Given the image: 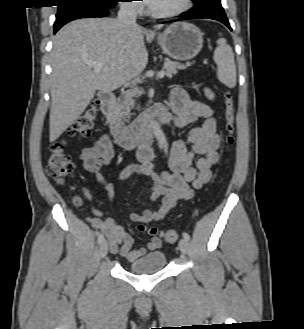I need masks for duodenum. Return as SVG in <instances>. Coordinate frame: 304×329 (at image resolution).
<instances>
[{"label": "duodenum", "mask_w": 304, "mask_h": 329, "mask_svg": "<svg viewBox=\"0 0 304 329\" xmlns=\"http://www.w3.org/2000/svg\"><path fill=\"white\" fill-rule=\"evenodd\" d=\"M102 113L109 123L110 133L117 145L129 149L139 142H148L155 129V124H166L173 120V115L163 108H153L146 115L126 124L116 108V98L110 91L99 93Z\"/></svg>", "instance_id": "1"}]
</instances>
